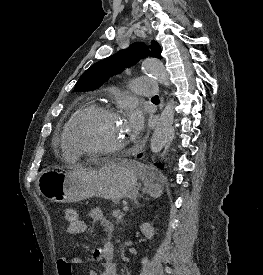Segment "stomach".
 I'll use <instances>...</instances> for the list:
<instances>
[{
  "label": "stomach",
  "instance_id": "obj_1",
  "mask_svg": "<svg viewBox=\"0 0 263 275\" xmlns=\"http://www.w3.org/2000/svg\"><path fill=\"white\" fill-rule=\"evenodd\" d=\"M37 188L42 196L57 203L96 196L117 204L122 198H134L139 191L137 172L128 162H109L99 169H46L38 177Z\"/></svg>",
  "mask_w": 263,
  "mask_h": 275
}]
</instances>
